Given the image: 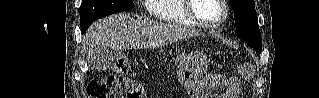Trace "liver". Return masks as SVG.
Returning <instances> with one entry per match:
<instances>
[{
    "label": "liver",
    "instance_id": "1",
    "mask_svg": "<svg viewBox=\"0 0 319 98\" xmlns=\"http://www.w3.org/2000/svg\"><path fill=\"white\" fill-rule=\"evenodd\" d=\"M199 35L195 30L181 25L142 20L129 14H117L94 22L83 37V43L87 61L92 65L91 56L100 47L117 51L158 48ZM144 36L148 37L147 42L141 41Z\"/></svg>",
    "mask_w": 319,
    "mask_h": 98
}]
</instances>
